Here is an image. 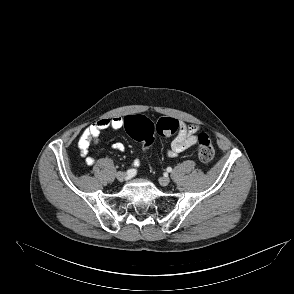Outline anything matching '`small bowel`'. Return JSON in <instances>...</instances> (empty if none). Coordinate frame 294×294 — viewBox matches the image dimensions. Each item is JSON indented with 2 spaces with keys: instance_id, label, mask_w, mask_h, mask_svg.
<instances>
[{
  "instance_id": "obj_1",
  "label": "small bowel",
  "mask_w": 294,
  "mask_h": 294,
  "mask_svg": "<svg viewBox=\"0 0 294 294\" xmlns=\"http://www.w3.org/2000/svg\"><path fill=\"white\" fill-rule=\"evenodd\" d=\"M124 122L125 118L121 116L102 118L92 123L83 131L78 141V147L81 155L85 158V161L88 165H93L95 163V158L89 155V148L92 144L98 143L101 132L105 129H121L124 127ZM197 131V126L180 122L178 132L174 137L170 148L167 150V155L171 158H174L196 144ZM112 148L118 151L125 150V146L121 142L113 143ZM139 164V161H135L134 167H139Z\"/></svg>"
}]
</instances>
